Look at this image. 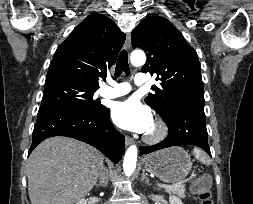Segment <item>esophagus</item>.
<instances>
[{"instance_id":"1","label":"esophagus","mask_w":253,"mask_h":204,"mask_svg":"<svg viewBox=\"0 0 253 204\" xmlns=\"http://www.w3.org/2000/svg\"><path fill=\"white\" fill-rule=\"evenodd\" d=\"M130 47H131V36L128 33L127 37H126V40H125L124 48L125 49H130ZM132 142H133V139L130 136H125V143H126L127 146L132 144Z\"/></svg>"}]
</instances>
